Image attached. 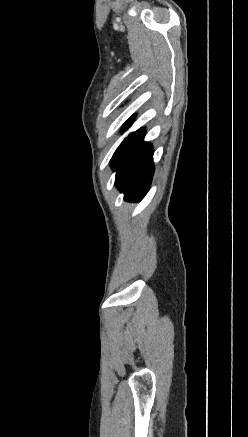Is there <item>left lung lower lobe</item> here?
Listing matches in <instances>:
<instances>
[{
	"mask_svg": "<svg viewBox=\"0 0 248 437\" xmlns=\"http://www.w3.org/2000/svg\"><path fill=\"white\" fill-rule=\"evenodd\" d=\"M133 117L126 122V127ZM144 129L131 133L115 151L110 163L116 170V187L126 201H139L147 193L153 175V148L144 142Z\"/></svg>",
	"mask_w": 248,
	"mask_h": 437,
	"instance_id": "0a47b994",
	"label": "left lung lower lobe"
}]
</instances>
